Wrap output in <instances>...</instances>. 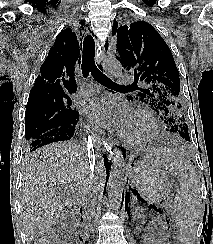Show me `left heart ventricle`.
<instances>
[{
	"label": "left heart ventricle",
	"mask_w": 213,
	"mask_h": 244,
	"mask_svg": "<svg viewBox=\"0 0 213 244\" xmlns=\"http://www.w3.org/2000/svg\"><path fill=\"white\" fill-rule=\"evenodd\" d=\"M148 123L141 117L133 116L132 121L125 129L124 134L129 137H141L148 132Z\"/></svg>",
	"instance_id": "obj_1"
}]
</instances>
